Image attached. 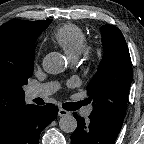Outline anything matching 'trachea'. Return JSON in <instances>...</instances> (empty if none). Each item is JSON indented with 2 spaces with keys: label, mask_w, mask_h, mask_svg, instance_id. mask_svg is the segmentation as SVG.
I'll list each match as a JSON object with an SVG mask.
<instances>
[{
  "label": "trachea",
  "mask_w": 144,
  "mask_h": 144,
  "mask_svg": "<svg viewBox=\"0 0 144 144\" xmlns=\"http://www.w3.org/2000/svg\"><path fill=\"white\" fill-rule=\"evenodd\" d=\"M85 105L84 101L80 102H68L63 105V108L68 110V111H74L80 108L81 106Z\"/></svg>",
  "instance_id": "obj_1"
}]
</instances>
